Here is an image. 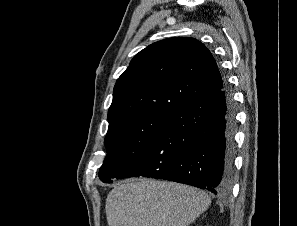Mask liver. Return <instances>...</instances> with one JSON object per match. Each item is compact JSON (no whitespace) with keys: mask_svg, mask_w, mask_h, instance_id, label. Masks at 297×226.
I'll return each mask as SVG.
<instances>
[{"mask_svg":"<svg viewBox=\"0 0 297 226\" xmlns=\"http://www.w3.org/2000/svg\"><path fill=\"white\" fill-rule=\"evenodd\" d=\"M194 187L141 178L119 183L106 199L108 226H188L209 207Z\"/></svg>","mask_w":297,"mask_h":226,"instance_id":"obj_1","label":"liver"}]
</instances>
